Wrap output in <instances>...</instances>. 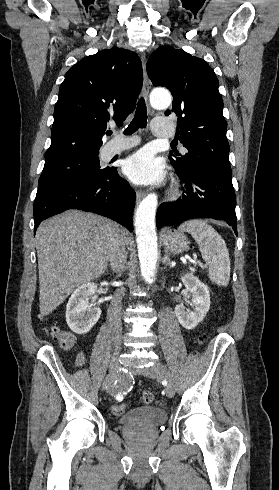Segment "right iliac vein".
Here are the masks:
<instances>
[{"mask_svg":"<svg viewBox=\"0 0 279 490\" xmlns=\"http://www.w3.org/2000/svg\"><path fill=\"white\" fill-rule=\"evenodd\" d=\"M119 369V363L116 357H113L109 365V375L106 377L102 389L111 388V383L114 380V376L117 374Z\"/></svg>","mask_w":279,"mask_h":490,"instance_id":"1","label":"right iliac vein"}]
</instances>
